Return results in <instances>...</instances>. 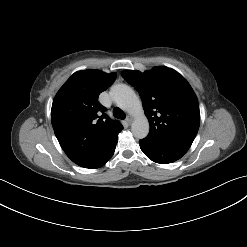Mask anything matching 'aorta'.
<instances>
[{"mask_svg": "<svg viewBox=\"0 0 247 247\" xmlns=\"http://www.w3.org/2000/svg\"><path fill=\"white\" fill-rule=\"evenodd\" d=\"M114 103L134 117L131 131L135 138L142 139L148 135L149 123L142 104L131 87L125 84L115 85L111 90Z\"/></svg>", "mask_w": 247, "mask_h": 247, "instance_id": "762f6f07", "label": "aorta"}]
</instances>
